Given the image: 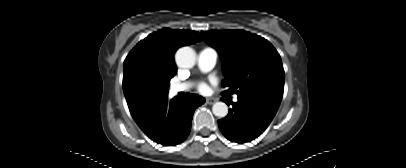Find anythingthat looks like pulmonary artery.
Wrapping results in <instances>:
<instances>
[{
  "label": "pulmonary artery",
  "mask_w": 406,
  "mask_h": 168,
  "mask_svg": "<svg viewBox=\"0 0 406 168\" xmlns=\"http://www.w3.org/2000/svg\"><path fill=\"white\" fill-rule=\"evenodd\" d=\"M217 56V52L212 48L202 49L198 54V66L200 70L207 72L213 69L217 62ZM190 86L191 84L188 82L174 84L171 86L170 91L173 94H177L189 90ZM234 101H237V96L234 97Z\"/></svg>",
  "instance_id": "1"
}]
</instances>
